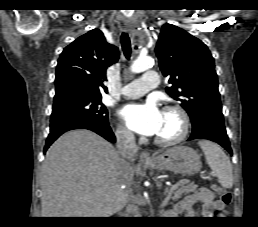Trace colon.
Returning a JSON list of instances; mask_svg holds the SVG:
<instances>
[{
  "label": "colon",
  "mask_w": 258,
  "mask_h": 227,
  "mask_svg": "<svg viewBox=\"0 0 258 227\" xmlns=\"http://www.w3.org/2000/svg\"><path fill=\"white\" fill-rule=\"evenodd\" d=\"M213 190L220 195L221 202L224 205H229L231 203L232 195H231V193L229 191H227L224 188L218 187V186H214Z\"/></svg>",
  "instance_id": "1"
}]
</instances>
